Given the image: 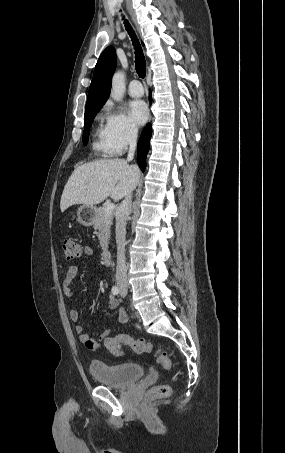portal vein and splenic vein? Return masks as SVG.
I'll use <instances>...</instances> for the list:
<instances>
[{
    "label": "portal vein and splenic vein",
    "mask_w": 285,
    "mask_h": 453,
    "mask_svg": "<svg viewBox=\"0 0 285 453\" xmlns=\"http://www.w3.org/2000/svg\"><path fill=\"white\" fill-rule=\"evenodd\" d=\"M114 204L113 203H110V204H107L105 207H104V212L107 213V214H111L114 210Z\"/></svg>",
    "instance_id": "1"
}]
</instances>
